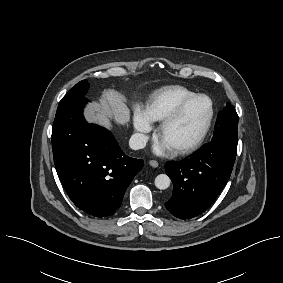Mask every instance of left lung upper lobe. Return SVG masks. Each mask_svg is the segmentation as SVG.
<instances>
[{
    "instance_id": "5c2ea615",
    "label": "left lung upper lobe",
    "mask_w": 283,
    "mask_h": 283,
    "mask_svg": "<svg viewBox=\"0 0 283 283\" xmlns=\"http://www.w3.org/2000/svg\"><path fill=\"white\" fill-rule=\"evenodd\" d=\"M211 141L222 142L237 148L238 115L230 103H227L226 108L219 113Z\"/></svg>"
}]
</instances>
